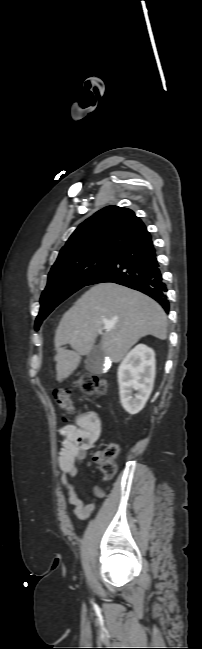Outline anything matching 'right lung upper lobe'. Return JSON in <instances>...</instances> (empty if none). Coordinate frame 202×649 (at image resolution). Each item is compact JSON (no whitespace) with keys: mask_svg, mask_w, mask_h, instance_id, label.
<instances>
[{"mask_svg":"<svg viewBox=\"0 0 202 649\" xmlns=\"http://www.w3.org/2000/svg\"><path fill=\"white\" fill-rule=\"evenodd\" d=\"M148 234L146 226L132 210L107 206L78 226L61 249L57 261L89 251L118 253Z\"/></svg>","mask_w":202,"mask_h":649,"instance_id":"cb5924a9","label":"right lung upper lobe"}]
</instances>
